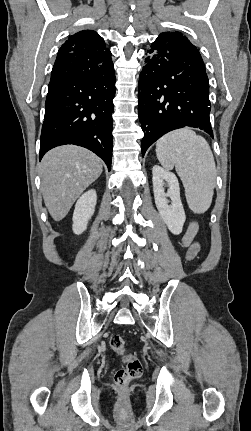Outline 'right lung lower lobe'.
<instances>
[{"label": "right lung lower lobe", "mask_w": 251, "mask_h": 431, "mask_svg": "<svg viewBox=\"0 0 251 431\" xmlns=\"http://www.w3.org/2000/svg\"><path fill=\"white\" fill-rule=\"evenodd\" d=\"M114 96L111 52L59 51L45 102L40 160L56 146L74 144L93 151L110 170Z\"/></svg>", "instance_id": "1"}]
</instances>
